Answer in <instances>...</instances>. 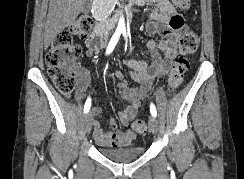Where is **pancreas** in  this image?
<instances>
[{
	"mask_svg": "<svg viewBox=\"0 0 244 179\" xmlns=\"http://www.w3.org/2000/svg\"><path fill=\"white\" fill-rule=\"evenodd\" d=\"M105 6L103 8V10H105L106 14H108V12H110V8L108 6V2H104Z\"/></svg>",
	"mask_w": 244,
	"mask_h": 179,
	"instance_id": "obj_1",
	"label": "pancreas"
}]
</instances>
